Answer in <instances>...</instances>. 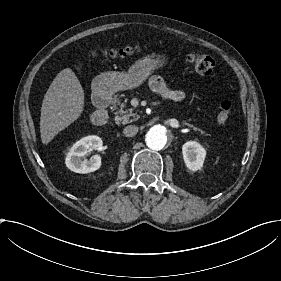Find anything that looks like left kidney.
Masks as SVG:
<instances>
[{"instance_id":"left-kidney-1","label":"left kidney","mask_w":281,"mask_h":281,"mask_svg":"<svg viewBox=\"0 0 281 281\" xmlns=\"http://www.w3.org/2000/svg\"><path fill=\"white\" fill-rule=\"evenodd\" d=\"M205 157L204 149L195 142H188L183 146V158L187 167L197 170L202 167Z\"/></svg>"}]
</instances>
